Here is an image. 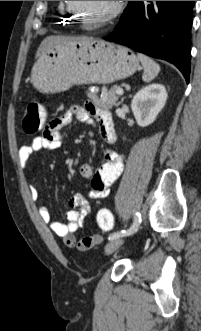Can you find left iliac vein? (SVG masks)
<instances>
[{"label": "left iliac vein", "mask_w": 201, "mask_h": 331, "mask_svg": "<svg viewBox=\"0 0 201 331\" xmlns=\"http://www.w3.org/2000/svg\"><path fill=\"white\" fill-rule=\"evenodd\" d=\"M123 242V239L120 237L110 240V242H108L105 246V253L108 255L112 254L123 244Z\"/></svg>", "instance_id": "4c4485c4"}]
</instances>
